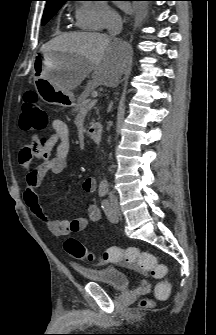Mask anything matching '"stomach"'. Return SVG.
<instances>
[{"instance_id": "0dacf381", "label": "stomach", "mask_w": 216, "mask_h": 335, "mask_svg": "<svg viewBox=\"0 0 216 335\" xmlns=\"http://www.w3.org/2000/svg\"><path fill=\"white\" fill-rule=\"evenodd\" d=\"M71 62L70 55L58 52L43 53L36 58L34 84L44 102L65 108L75 105L73 92L63 91L56 83V78L70 67Z\"/></svg>"}]
</instances>
